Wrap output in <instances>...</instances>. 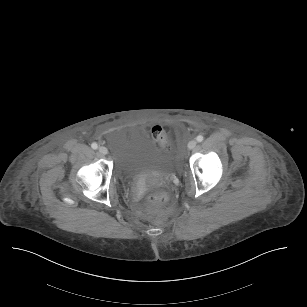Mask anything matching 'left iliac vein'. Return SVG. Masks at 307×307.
<instances>
[{
	"label": "left iliac vein",
	"mask_w": 307,
	"mask_h": 307,
	"mask_svg": "<svg viewBox=\"0 0 307 307\" xmlns=\"http://www.w3.org/2000/svg\"><path fill=\"white\" fill-rule=\"evenodd\" d=\"M196 141L195 140H191L189 143H188V149H193L196 147Z\"/></svg>",
	"instance_id": "obj_1"
}]
</instances>
